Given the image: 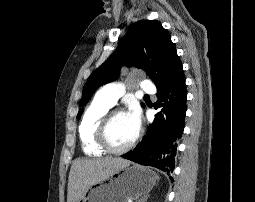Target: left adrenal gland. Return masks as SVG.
<instances>
[{"label":"left adrenal gland","mask_w":255,"mask_h":202,"mask_svg":"<svg viewBox=\"0 0 255 202\" xmlns=\"http://www.w3.org/2000/svg\"><path fill=\"white\" fill-rule=\"evenodd\" d=\"M147 196L143 197L141 200H139V202H146L147 201Z\"/></svg>","instance_id":"obj_1"}]
</instances>
